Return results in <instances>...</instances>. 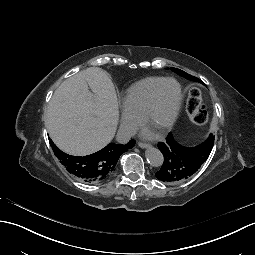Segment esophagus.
<instances>
[{
    "instance_id": "obj_1",
    "label": "esophagus",
    "mask_w": 255,
    "mask_h": 255,
    "mask_svg": "<svg viewBox=\"0 0 255 255\" xmlns=\"http://www.w3.org/2000/svg\"><path fill=\"white\" fill-rule=\"evenodd\" d=\"M138 145H139V147H141V148H143V149H147V148H150V147H151L150 144L143 143V142H139Z\"/></svg>"
}]
</instances>
